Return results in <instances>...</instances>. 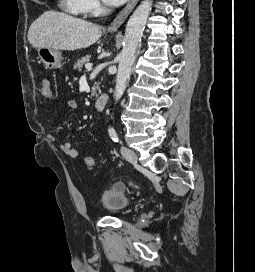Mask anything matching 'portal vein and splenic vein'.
Segmentation results:
<instances>
[{
	"label": "portal vein and splenic vein",
	"mask_w": 255,
	"mask_h": 272,
	"mask_svg": "<svg viewBox=\"0 0 255 272\" xmlns=\"http://www.w3.org/2000/svg\"><path fill=\"white\" fill-rule=\"evenodd\" d=\"M85 68H86L87 70H91V69H92V64H91V63H87V64L85 65Z\"/></svg>",
	"instance_id": "obj_1"
}]
</instances>
